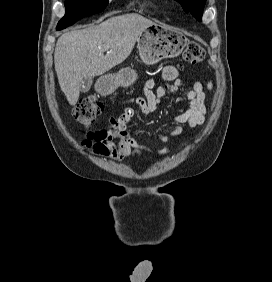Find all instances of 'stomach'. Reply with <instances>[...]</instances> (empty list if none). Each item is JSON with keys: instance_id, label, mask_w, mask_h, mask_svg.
<instances>
[{"instance_id": "1", "label": "stomach", "mask_w": 272, "mask_h": 282, "mask_svg": "<svg viewBox=\"0 0 272 282\" xmlns=\"http://www.w3.org/2000/svg\"><path fill=\"white\" fill-rule=\"evenodd\" d=\"M186 38L173 28L153 23L145 29L137 39V47L141 60L153 65L162 59L177 57L184 49ZM137 79L136 71L131 67L120 69L117 73L101 78L100 91L112 93L118 87H128Z\"/></svg>"}]
</instances>
